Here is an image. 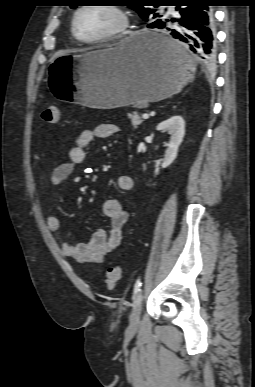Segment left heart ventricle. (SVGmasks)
<instances>
[{
  "instance_id": "obj_1",
  "label": "left heart ventricle",
  "mask_w": 255,
  "mask_h": 387,
  "mask_svg": "<svg viewBox=\"0 0 255 387\" xmlns=\"http://www.w3.org/2000/svg\"><path fill=\"white\" fill-rule=\"evenodd\" d=\"M117 25V16L103 8H88L81 12L77 18V31L79 35L88 39L102 36Z\"/></svg>"
}]
</instances>
